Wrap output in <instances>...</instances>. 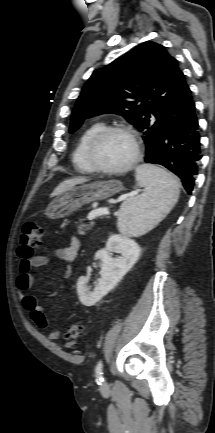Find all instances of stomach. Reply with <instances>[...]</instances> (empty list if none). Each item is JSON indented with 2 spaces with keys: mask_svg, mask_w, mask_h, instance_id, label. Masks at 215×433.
Wrapping results in <instances>:
<instances>
[{
  "mask_svg": "<svg viewBox=\"0 0 215 433\" xmlns=\"http://www.w3.org/2000/svg\"><path fill=\"white\" fill-rule=\"evenodd\" d=\"M123 189L119 181H97L73 187L55 199L45 211L51 219H59L79 210L93 201L107 199Z\"/></svg>",
  "mask_w": 215,
  "mask_h": 433,
  "instance_id": "1",
  "label": "stomach"
}]
</instances>
